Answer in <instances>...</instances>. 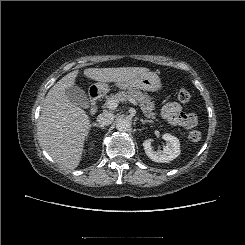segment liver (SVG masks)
I'll return each instance as SVG.
<instances>
[{"label": "liver", "instance_id": "1", "mask_svg": "<svg viewBox=\"0 0 245 245\" xmlns=\"http://www.w3.org/2000/svg\"><path fill=\"white\" fill-rule=\"evenodd\" d=\"M148 71L145 67L87 68L84 75L95 81L116 83ZM78 74V70L68 73L49 90L37 127L40 144L57 164L68 170L78 167L91 127L89 116L65 92L74 86Z\"/></svg>", "mask_w": 245, "mask_h": 245}]
</instances>
